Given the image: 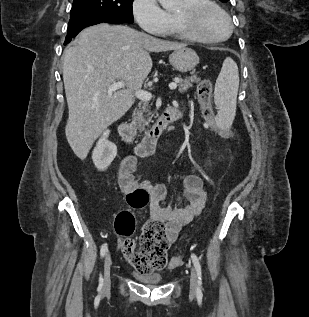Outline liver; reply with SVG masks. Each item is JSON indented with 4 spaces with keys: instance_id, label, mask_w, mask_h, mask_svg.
<instances>
[{
    "instance_id": "1",
    "label": "liver",
    "mask_w": 309,
    "mask_h": 317,
    "mask_svg": "<svg viewBox=\"0 0 309 317\" xmlns=\"http://www.w3.org/2000/svg\"><path fill=\"white\" fill-rule=\"evenodd\" d=\"M186 47L122 25L101 23L84 29L64 52L63 81L69 109L67 141L85 159L94 141L134 103L152 69L150 52ZM117 81L125 88L109 91Z\"/></svg>"
}]
</instances>
